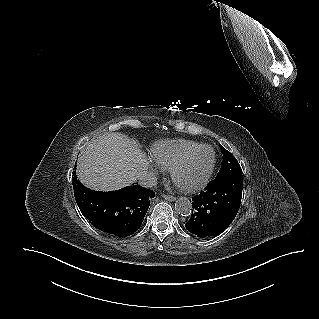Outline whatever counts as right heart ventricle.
<instances>
[{
	"mask_svg": "<svg viewBox=\"0 0 319 319\" xmlns=\"http://www.w3.org/2000/svg\"><path fill=\"white\" fill-rule=\"evenodd\" d=\"M198 145L200 143L185 139L162 140L151 147L150 154L159 167L171 170L185 153Z\"/></svg>",
	"mask_w": 319,
	"mask_h": 319,
	"instance_id": "1",
	"label": "right heart ventricle"
}]
</instances>
